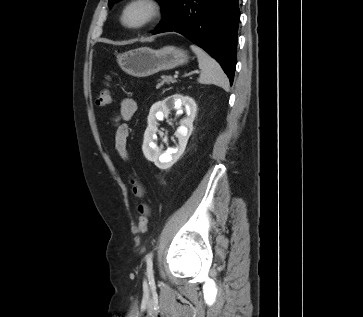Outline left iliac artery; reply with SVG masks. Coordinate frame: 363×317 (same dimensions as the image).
<instances>
[{
	"label": "left iliac artery",
	"instance_id": "44dca946",
	"mask_svg": "<svg viewBox=\"0 0 363 317\" xmlns=\"http://www.w3.org/2000/svg\"><path fill=\"white\" fill-rule=\"evenodd\" d=\"M147 274L148 277L153 279V253L150 252L146 256Z\"/></svg>",
	"mask_w": 363,
	"mask_h": 317
}]
</instances>
